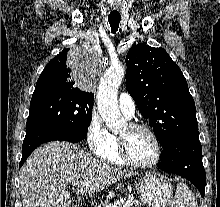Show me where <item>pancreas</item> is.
Wrapping results in <instances>:
<instances>
[{"label": "pancreas", "instance_id": "cf45deb5", "mask_svg": "<svg viewBox=\"0 0 220 207\" xmlns=\"http://www.w3.org/2000/svg\"><path fill=\"white\" fill-rule=\"evenodd\" d=\"M108 205V202H101L96 207H106ZM123 207H141V203L137 200H128L126 204Z\"/></svg>", "mask_w": 220, "mask_h": 207}]
</instances>
